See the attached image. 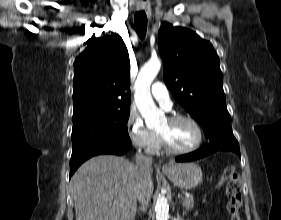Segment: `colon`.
Listing matches in <instances>:
<instances>
[{"instance_id":"5ec220e1","label":"colon","mask_w":281,"mask_h":220,"mask_svg":"<svg viewBox=\"0 0 281 220\" xmlns=\"http://www.w3.org/2000/svg\"><path fill=\"white\" fill-rule=\"evenodd\" d=\"M226 182L227 212L230 220H241L240 209L242 207L240 176L233 166L224 168L219 185Z\"/></svg>"}]
</instances>
